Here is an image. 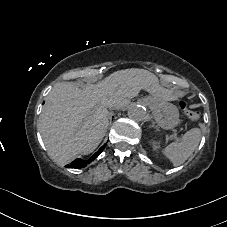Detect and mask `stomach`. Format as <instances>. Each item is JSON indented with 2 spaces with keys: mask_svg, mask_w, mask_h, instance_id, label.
<instances>
[{
  "mask_svg": "<svg viewBox=\"0 0 227 227\" xmlns=\"http://www.w3.org/2000/svg\"><path fill=\"white\" fill-rule=\"evenodd\" d=\"M145 101L149 105L155 121L161 128L172 129L178 125L179 111L175 105L154 97H148Z\"/></svg>",
  "mask_w": 227,
  "mask_h": 227,
  "instance_id": "stomach-1",
  "label": "stomach"
}]
</instances>
